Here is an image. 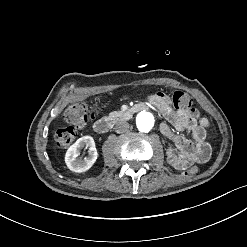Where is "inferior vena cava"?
Listing matches in <instances>:
<instances>
[{
  "label": "inferior vena cava",
  "instance_id": "obj_1",
  "mask_svg": "<svg viewBox=\"0 0 247 247\" xmlns=\"http://www.w3.org/2000/svg\"><path fill=\"white\" fill-rule=\"evenodd\" d=\"M129 123L126 121H120L115 125V131L117 133H124L129 129Z\"/></svg>",
  "mask_w": 247,
  "mask_h": 247
}]
</instances>
